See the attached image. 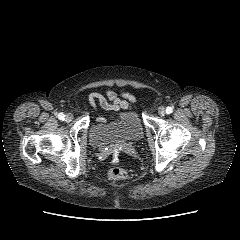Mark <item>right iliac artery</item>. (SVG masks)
<instances>
[{
	"label": "right iliac artery",
	"mask_w": 240,
	"mask_h": 240,
	"mask_svg": "<svg viewBox=\"0 0 240 240\" xmlns=\"http://www.w3.org/2000/svg\"><path fill=\"white\" fill-rule=\"evenodd\" d=\"M58 118H59V120H64L65 119V115L63 113H59L58 114Z\"/></svg>",
	"instance_id": "right-iliac-artery-1"
}]
</instances>
